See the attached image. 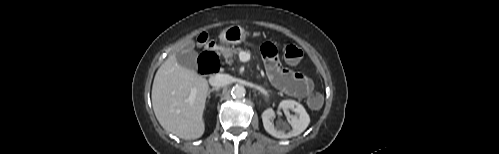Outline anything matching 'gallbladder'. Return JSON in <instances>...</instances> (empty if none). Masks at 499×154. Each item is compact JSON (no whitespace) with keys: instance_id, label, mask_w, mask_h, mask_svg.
<instances>
[{"instance_id":"1","label":"gallbladder","mask_w":499,"mask_h":154,"mask_svg":"<svg viewBox=\"0 0 499 154\" xmlns=\"http://www.w3.org/2000/svg\"><path fill=\"white\" fill-rule=\"evenodd\" d=\"M185 46V51H179L176 53V60L178 64L184 68L197 70L198 54L193 50L195 42L193 40H189Z\"/></svg>"}]
</instances>
